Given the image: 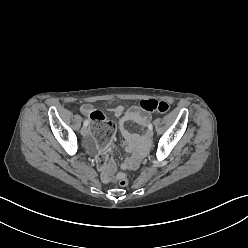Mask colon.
<instances>
[{
    "label": "colon",
    "mask_w": 248,
    "mask_h": 248,
    "mask_svg": "<svg viewBox=\"0 0 248 248\" xmlns=\"http://www.w3.org/2000/svg\"><path fill=\"white\" fill-rule=\"evenodd\" d=\"M139 107L145 112H157L165 114L169 112L170 105L165 101L155 99L143 100L140 102ZM90 119L93 123L92 137L94 138V146L98 150H105L109 146V139H111L116 131L115 124L108 120L106 116L98 110H94ZM109 160V155L105 151H100L96 155V160L93 163V168L97 172H102L106 168V163ZM118 184L121 187H126L129 180L125 175L118 176Z\"/></svg>",
    "instance_id": "1"
}]
</instances>
